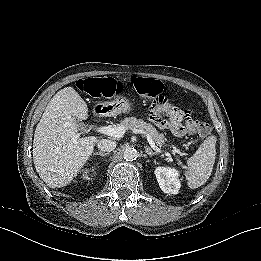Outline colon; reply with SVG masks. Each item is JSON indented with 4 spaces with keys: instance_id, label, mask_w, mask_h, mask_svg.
<instances>
[{
    "instance_id": "1",
    "label": "colon",
    "mask_w": 261,
    "mask_h": 261,
    "mask_svg": "<svg viewBox=\"0 0 261 261\" xmlns=\"http://www.w3.org/2000/svg\"><path fill=\"white\" fill-rule=\"evenodd\" d=\"M76 85L80 91L92 97H111L121 89L120 83L112 78L102 79L95 77L82 79ZM133 85L140 95L153 98L150 112L159 120H164L162 115H166L169 121H164L168 122L170 129L175 135L182 136L187 132L188 128L183 125L182 120L189 116V112L177 109L162 95L163 85L160 81L151 78L135 77ZM196 125L202 134L209 132L207 123L197 120Z\"/></svg>"
}]
</instances>
